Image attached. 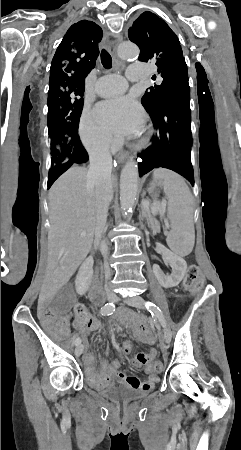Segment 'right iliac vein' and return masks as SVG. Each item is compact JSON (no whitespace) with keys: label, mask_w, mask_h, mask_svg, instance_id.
Listing matches in <instances>:
<instances>
[{"label":"right iliac vein","mask_w":241,"mask_h":450,"mask_svg":"<svg viewBox=\"0 0 241 450\" xmlns=\"http://www.w3.org/2000/svg\"><path fill=\"white\" fill-rule=\"evenodd\" d=\"M106 298L109 302H113L116 299V295L113 292H108ZM83 352V345L79 344L75 349V356L79 357Z\"/></svg>","instance_id":"right-iliac-vein-1"}]
</instances>
